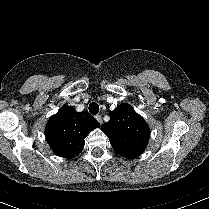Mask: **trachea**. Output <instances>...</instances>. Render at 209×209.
<instances>
[{
	"instance_id": "3493384b",
	"label": "trachea",
	"mask_w": 209,
	"mask_h": 209,
	"mask_svg": "<svg viewBox=\"0 0 209 209\" xmlns=\"http://www.w3.org/2000/svg\"><path fill=\"white\" fill-rule=\"evenodd\" d=\"M89 112L92 114V115H95L99 112V105L95 102H92L90 103L89 105Z\"/></svg>"
}]
</instances>
